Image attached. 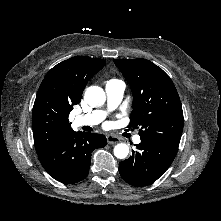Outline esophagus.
Here are the masks:
<instances>
[{
    "mask_svg": "<svg viewBox=\"0 0 221 221\" xmlns=\"http://www.w3.org/2000/svg\"><path fill=\"white\" fill-rule=\"evenodd\" d=\"M106 138L108 144H116L120 141V139L114 135H107Z\"/></svg>",
    "mask_w": 221,
    "mask_h": 221,
    "instance_id": "esophagus-1",
    "label": "esophagus"
}]
</instances>
